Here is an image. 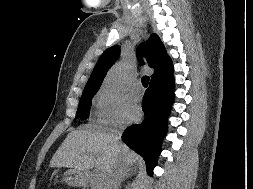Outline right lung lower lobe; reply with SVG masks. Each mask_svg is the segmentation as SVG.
Here are the masks:
<instances>
[{"label":"right lung lower lobe","instance_id":"98d812e1","mask_svg":"<svg viewBox=\"0 0 253 189\" xmlns=\"http://www.w3.org/2000/svg\"><path fill=\"white\" fill-rule=\"evenodd\" d=\"M173 92V72L151 80L142 101L145 114L143 122L131 125L122 135L123 141L144 158L150 175L161 152V143L167 130V117L174 99Z\"/></svg>","mask_w":253,"mask_h":189}]
</instances>
